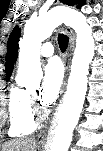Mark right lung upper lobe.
Returning a JSON list of instances; mask_svg holds the SVG:
<instances>
[{
  "instance_id": "cb5924a9",
  "label": "right lung upper lobe",
  "mask_w": 103,
  "mask_h": 151,
  "mask_svg": "<svg viewBox=\"0 0 103 151\" xmlns=\"http://www.w3.org/2000/svg\"><path fill=\"white\" fill-rule=\"evenodd\" d=\"M20 38V28L16 26L8 39V50L6 54V78H10L13 70V64L18 56V39Z\"/></svg>"
}]
</instances>
